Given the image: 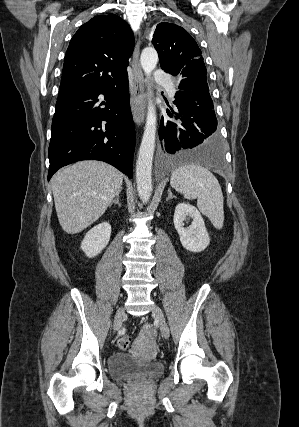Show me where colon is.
Segmentation results:
<instances>
[{
    "mask_svg": "<svg viewBox=\"0 0 299 427\" xmlns=\"http://www.w3.org/2000/svg\"><path fill=\"white\" fill-rule=\"evenodd\" d=\"M118 346L122 350H128L131 347V339L128 336H122L118 340Z\"/></svg>",
    "mask_w": 299,
    "mask_h": 427,
    "instance_id": "5ec220e1",
    "label": "colon"
}]
</instances>
